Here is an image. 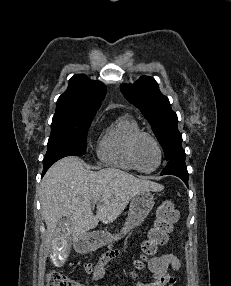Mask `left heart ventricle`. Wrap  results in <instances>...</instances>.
I'll return each mask as SVG.
<instances>
[{
    "mask_svg": "<svg viewBox=\"0 0 231 286\" xmlns=\"http://www.w3.org/2000/svg\"><path fill=\"white\" fill-rule=\"evenodd\" d=\"M136 157L140 167L144 170H152L159 161V154L155 144L146 137L138 141Z\"/></svg>",
    "mask_w": 231,
    "mask_h": 286,
    "instance_id": "b2bd125f",
    "label": "left heart ventricle"
}]
</instances>
